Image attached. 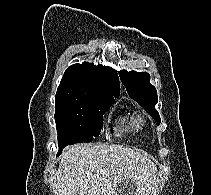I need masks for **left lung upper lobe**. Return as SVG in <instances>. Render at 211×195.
Segmentation results:
<instances>
[{"mask_svg":"<svg viewBox=\"0 0 211 195\" xmlns=\"http://www.w3.org/2000/svg\"><path fill=\"white\" fill-rule=\"evenodd\" d=\"M119 75L129 96L139 103L160 124L161 119L155 109V105L158 102L157 91L149 83L150 75L146 72H127L126 70H121Z\"/></svg>","mask_w":211,"mask_h":195,"instance_id":"obj_1","label":"left lung upper lobe"}]
</instances>
